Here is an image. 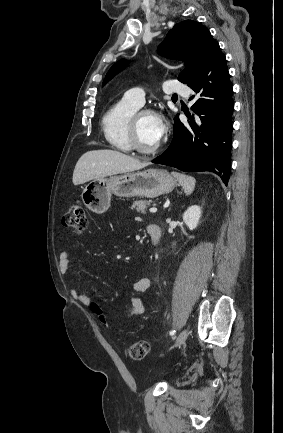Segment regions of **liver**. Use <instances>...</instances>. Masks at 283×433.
<instances>
[{"label":"liver","instance_id":"6515ba94","mask_svg":"<svg viewBox=\"0 0 283 433\" xmlns=\"http://www.w3.org/2000/svg\"><path fill=\"white\" fill-rule=\"evenodd\" d=\"M150 162H140L118 150H88L77 160L73 172V184H84L93 178H102L110 174L131 172L144 168Z\"/></svg>","mask_w":283,"mask_h":433}]
</instances>
